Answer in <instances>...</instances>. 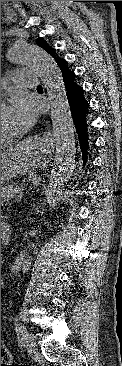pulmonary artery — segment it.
Wrapping results in <instances>:
<instances>
[{
  "instance_id": "pulmonary-artery-1",
  "label": "pulmonary artery",
  "mask_w": 122,
  "mask_h": 366,
  "mask_svg": "<svg viewBox=\"0 0 122 366\" xmlns=\"http://www.w3.org/2000/svg\"><path fill=\"white\" fill-rule=\"evenodd\" d=\"M39 79L40 76L38 72L34 70L17 69L9 72L8 79L2 80L1 84H5L7 81L11 80L15 85L34 89L38 87Z\"/></svg>"
}]
</instances>
